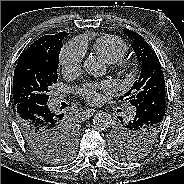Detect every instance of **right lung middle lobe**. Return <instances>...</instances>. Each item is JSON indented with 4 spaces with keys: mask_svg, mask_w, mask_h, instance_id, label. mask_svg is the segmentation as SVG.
Masks as SVG:
<instances>
[{
    "mask_svg": "<svg viewBox=\"0 0 184 184\" xmlns=\"http://www.w3.org/2000/svg\"><path fill=\"white\" fill-rule=\"evenodd\" d=\"M62 46V39H55L47 53L20 55L13 76L15 105L23 102L47 104L50 89L58 79L57 67ZM75 139V128L65 127L60 142L48 150L36 151L35 154L48 163L63 162L74 152Z\"/></svg>",
    "mask_w": 184,
    "mask_h": 184,
    "instance_id": "right-lung-middle-lobe-1",
    "label": "right lung middle lobe"
}]
</instances>
